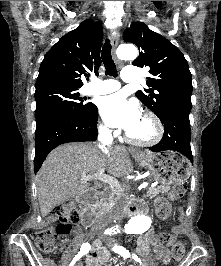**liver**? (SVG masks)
Segmentation results:
<instances>
[{"label": "liver", "mask_w": 221, "mask_h": 266, "mask_svg": "<svg viewBox=\"0 0 221 266\" xmlns=\"http://www.w3.org/2000/svg\"><path fill=\"white\" fill-rule=\"evenodd\" d=\"M102 169L118 178L130 174V151L118 146L106 155L92 143H68L55 148L37 174L42 217L60 203L86 192L92 180L82 181L81 177L96 174Z\"/></svg>", "instance_id": "liver-1"}]
</instances>
